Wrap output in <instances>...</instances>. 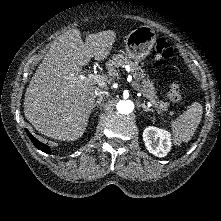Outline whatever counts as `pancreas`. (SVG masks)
Wrapping results in <instances>:
<instances>
[{
    "mask_svg": "<svg viewBox=\"0 0 221 221\" xmlns=\"http://www.w3.org/2000/svg\"><path fill=\"white\" fill-rule=\"evenodd\" d=\"M124 65H129L131 68V74L135 78V88L140 90L142 94L151 101L153 106L158 109V113L166 111L168 103H164L157 99L153 83L148 78H145L146 74L141 67L138 66L136 61L132 62L127 56H123L121 54L113 56L107 64L109 75L113 77L118 76V70L116 68Z\"/></svg>",
    "mask_w": 221,
    "mask_h": 221,
    "instance_id": "cf45deb5",
    "label": "pancreas"
}]
</instances>
